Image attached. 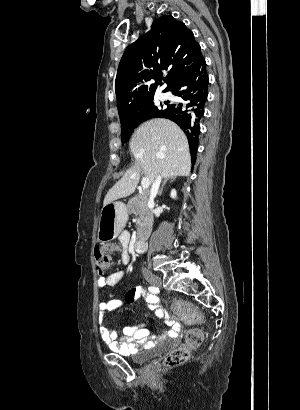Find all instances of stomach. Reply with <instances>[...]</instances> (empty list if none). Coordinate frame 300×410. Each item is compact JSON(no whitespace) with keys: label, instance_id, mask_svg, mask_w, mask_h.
Wrapping results in <instances>:
<instances>
[{"label":"stomach","instance_id":"obj_1","mask_svg":"<svg viewBox=\"0 0 300 410\" xmlns=\"http://www.w3.org/2000/svg\"><path fill=\"white\" fill-rule=\"evenodd\" d=\"M128 220L127 207L122 202H112L104 205L99 220L97 238L99 241L115 239Z\"/></svg>","mask_w":300,"mask_h":410}]
</instances>
